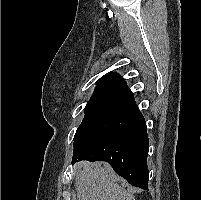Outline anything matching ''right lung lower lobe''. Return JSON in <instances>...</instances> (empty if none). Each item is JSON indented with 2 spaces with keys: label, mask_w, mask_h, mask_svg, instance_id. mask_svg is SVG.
I'll return each instance as SVG.
<instances>
[{
  "label": "right lung lower lobe",
  "mask_w": 201,
  "mask_h": 200,
  "mask_svg": "<svg viewBox=\"0 0 201 200\" xmlns=\"http://www.w3.org/2000/svg\"><path fill=\"white\" fill-rule=\"evenodd\" d=\"M146 122L133 100L74 139L72 164L106 161L131 185L148 190Z\"/></svg>",
  "instance_id": "98d812e1"
}]
</instances>
